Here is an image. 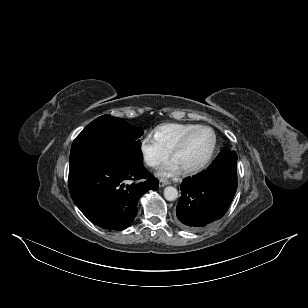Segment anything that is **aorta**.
I'll use <instances>...</instances> for the list:
<instances>
[{
    "instance_id": "1",
    "label": "aorta",
    "mask_w": 308,
    "mask_h": 308,
    "mask_svg": "<svg viewBox=\"0 0 308 308\" xmlns=\"http://www.w3.org/2000/svg\"><path fill=\"white\" fill-rule=\"evenodd\" d=\"M164 197L168 201H174L178 198V190L175 187L168 186L164 189Z\"/></svg>"
}]
</instances>
